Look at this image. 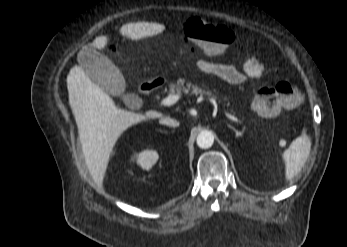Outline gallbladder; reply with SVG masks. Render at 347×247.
<instances>
[{"mask_svg": "<svg viewBox=\"0 0 347 247\" xmlns=\"http://www.w3.org/2000/svg\"><path fill=\"white\" fill-rule=\"evenodd\" d=\"M77 60L84 72L107 94L120 98L129 108L136 105L138 97L135 94H125L123 74L106 56L88 46L79 52Z\"/></svg>", "mask_w": 347, "mask_h": 247, "instance_id": "obj_1", "label": "gallbladder"}]
</instances>
